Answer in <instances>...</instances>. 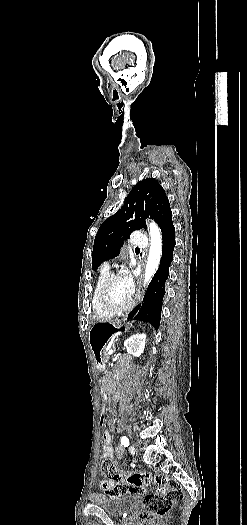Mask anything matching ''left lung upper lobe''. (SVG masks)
Returning <instances> with one entry per match:
<instances>
[{
    "label": "left lung upper lobe",
    "instance_id": "obj_1",
    "mask_svg": "<svg viewBox=\"0 0 247 525\" xmlns=\"http://www.w3.org/2000/svg\"><path fill=\"white\" fill-rule=\"evenodd\" d=\"M169 200L163 187L154 178L138 182L128 194L124 205L106 219L98 229L92 253V269L118 256L124 240L134 230L147 228L145 218L160 224L171 215Z\"/></svg>",
    "mask_w": 247,
    "mask_h": 525
}]
</instances>
